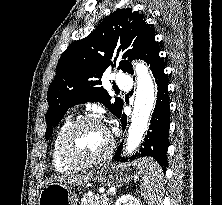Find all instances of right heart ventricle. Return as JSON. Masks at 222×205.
Listing matches in <instances>:
<instances>
[{
    "instance_id": "e07e8e85",
    "label": "right heart ventricle",
    "mask_w": 222,
    "mask_h": 205,
    "mask_svg": "<svg viewBox=\"0 0 222 205\" xmlns=\"http://www.w3.org/2000/svg\"><path fill=\"white\" fill-rule=\"evenodd\" d=\"M72 122V119L69 118L65 121V123L61 126V128L58 130L52 144V149H51V161H52V166L53 169L57 173H69L76 171L78 168L74 166H70L66 163L63 162L61 159L60 153H59V141L60 137L63 133V131L67 128V126Z\"/></svg>"
}]
</instances>
